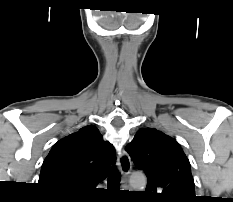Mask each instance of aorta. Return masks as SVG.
I'll return each instance as SVG.
<instances>
[{"label":"aorta","instance_id":"obj_1","mask_svg":"<svg viewBox=\"0 0 233 202\" xmlns=\"http://www.w3.org/2000/svg\"><path fill=\"white\" fill-rule=\"evenodd\" d=\"M146 183V178L143 175H133L130 178V184L134 188H144Z\"/></svg>","mask_w":233,"mask_h":202}]
</instances>
